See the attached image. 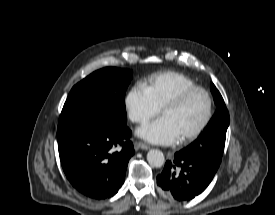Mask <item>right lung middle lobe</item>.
<instances>
[{
	"mask_svg": "<svg viewBox=\"0 0 275 215\" xmlns=\"http://www.w3.org/2000/svg\"><path fill=\"white\" fill-rule=\"evenodd\" d=\"M131 71L107 67L93 72L70 91L58 122V130L69 127L125 125V91Z\"/></svg>",
	"mask_w": 275,
	"mask_h": 215,
	"instance_id": "obj_1",
	"label": "right lung middle lobe"
}]
</instances>
